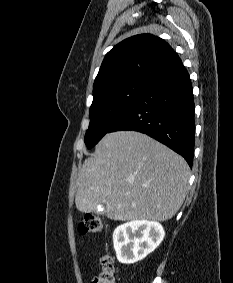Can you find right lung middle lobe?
I'll list each match as a JSON object with an SVG mask.
<instances>
[{
    "label": "right lung middle lobe",
    "mask_w": 233,
    "mask_h": 283,
    "mask_svg": "<svg viewBox=\"0 0 233 283\" xmlns=\"http://www.w3.org/2000/svg\"><path fill=\"white\" fill-rule=\"evenodd\" d=\"M150 82L130 81L105 89L93 96L90 124L85 135L88 149L96 145L111 127L129 110Z\"/></svg>",
    "instance_id": "right-lung-middle-lobe-1"
}]
</instances>
